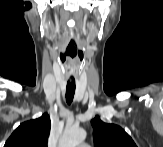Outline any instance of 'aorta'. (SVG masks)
<instances>
[{
  "label": "aorta",
  "instance_id": "1",
  "mask_svg": "<svg viewBox=\"0 0 163 147\" xmlns=\"http://www.w3.org/2000/svg\"><path fill=\"white\" fill-rule=\"evenodd\" d=\"M86 138V132L80 127L67 128L60 141L59 147H76Z\"/></svg>",
  "mask_w": 163,
  "mask_h": 147
}]
</instances>
